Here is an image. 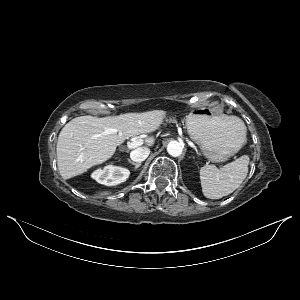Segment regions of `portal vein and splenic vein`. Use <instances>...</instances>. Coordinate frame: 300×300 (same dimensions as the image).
<instances>
[{"mask_svg": "<svg viewBox=\"0 0 300 300\" xmlns=\"http://www.w3.org/2000/svg\"><path fill=\"white\" fill-rule=\"evenodd\" d=\"M142 144H143V139H137V140L128 142L127 143V148L128 149H134V148H137V147L141 146Z\"/></svg>", "mask_w": 300, "mask_h": 300, "instance_id": "1", "label": "portal vein and splenic vein"}]
</instances>
